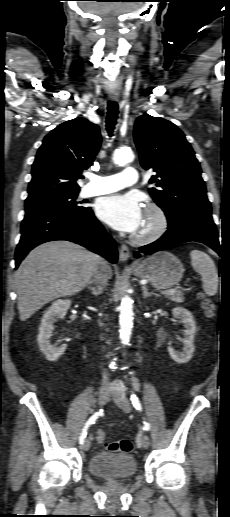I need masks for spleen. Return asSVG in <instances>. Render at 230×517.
Instances as JSON below:
<instances>
[{
    "label": "spleen",
    "instance_id": "3e777b00",
    "mask_svg": "<svg viewBox=\"0 0 230 517\" xmlns=\"http://www.w3.org/2000/svg\"><path fill=\"white\" fill-rule=\"evenodd\" d=\"M190 256L193 269L201 275L204 292L208 296L215 295L218 291V273L214 261L200 250H192Z\"/></svg>",
    "mask_w": 230,
    "mask_h": 517
}]
</instances>
